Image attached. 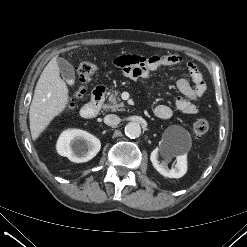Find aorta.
Wrapping results in <instances>:
<instances>
[{"label": "aorta", "instance_id": "obj_1", "mask_svg": "<svg viewBox=\"0 0 247 247\" xmlns=\"http://www.w3.org/2000/svg\"><path fill=\"white\" fill-rule=\"evenodd\" d=\"M125 134L130 138H138L141 135V126L137 122H129L125 126Z\"/></svg>", "mask_w": 247, "mask_h": 247}]
</instances>
